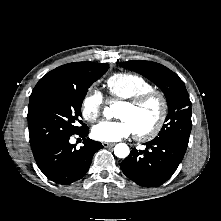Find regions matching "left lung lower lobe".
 <instances>
[{"mask_svg": "<svg viewBox=\"0 0 221 221\" xmlns=\"http://www.w3.org/2000/svg\"><path fill=\"white\" fill-rule=\"evenodd\" d=\"M144 151L131 150L120 167L138 185L156 187L166 182L182 161L187 147L172 140L153 139Z\"/></svg>", "mask_w": 221, "mask_h": 221, "instance_id": "obj_1", "label": "left lung lower lobe"}]
</instances>
